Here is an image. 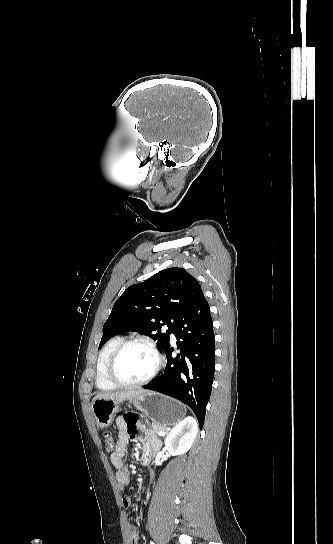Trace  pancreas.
Returning <instances> with one entry per match:
<instances>
[{"instance_id": "obj_1", "label": "pancreas", "mask_w": 333, "mask_h": 544, "mask_svg": "<svg viewBox=\"0 0 333 544\" xmlns=\"http://www.w3.org/2000/svg\"><path fill=\"white\" fill-rule=\"evenodd\" d=\"M146 433L150 434V433H159L161 431H165V427L161 426V425H158L156 423H152V426L150 427V429H145Z\"/></svg>"}]
</instances>
